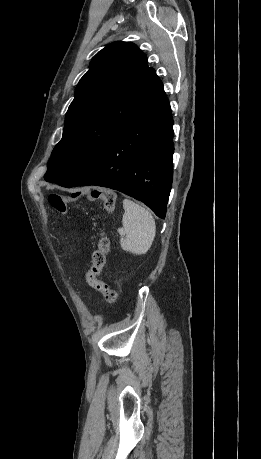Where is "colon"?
<instances>
[{
    "label": "colon",
    "instance_id": "colon-1",
    "mask_svg": "<svg viewBox=\"0 0 261 459\" xmlns=\"http://www.w3.org/2000/svg\"><path fill=\"white\" fill-rule=\"evenodd\" d=\"M71 196L51 194L48 197L50 206L60 215H66L68 205L79 197H89L91 200H101L104 208L111 212L114 210L116 195L111 191L99 190V188H72ZM110 242L105 234H101L97 247L92 254V265L87 272L86 281L88 285L99 291L108 303H115L118 299L117 292L100 279L101 272L106 264L107 253Z\"/></svg>",
    "mask_w": 261,
    "mask_h": 459
}]
</instances>
